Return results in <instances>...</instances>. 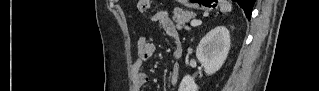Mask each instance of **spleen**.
Wrapping results in <instances>:
<instances>
[{
    "label": "spleen",
    "mask_w": 319,
    "mask_h": 91,
    "mask_svg": "<svg viewBox=\"0 0 319 91\" xmlns=\"http://www.w3.org/2000/svg\"><path fill=\"white\" fill-rule=\"evenodd\" d=\"M220 10L221 12H230L232 10V5L228 1H220Z\"/></svg>",
    "instance_id": "spleen-1"
}]
</instances>
